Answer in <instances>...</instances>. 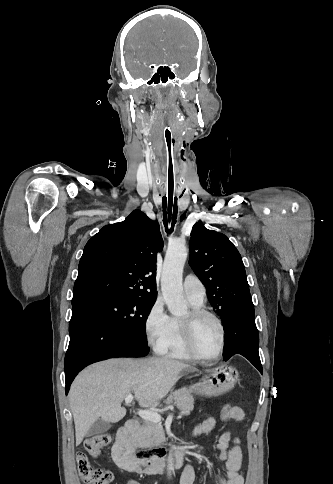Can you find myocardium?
Listing matches in <instances>:
<instances>
[{
    "instance_id": "obj_1",
    "label": "myocardium",
    "mask_w": 333,
    "mask_h": 484,
    "mask_svg": "<svg viewBox=\"0 0 333 484\" xmlns=\"http://www.w3.org/2000/svg\"><path fill=\"white\" fill-rule=\"evenodd\" d=\"M203 318L213 319L220 330V345L218 351L212 357H205L201 355L198 352L195 344V328L197 323ZM181 329L186 348L195 359L210 363L218 360L223 354L226 343V329L220 317L214 312L205 308L191 309L188 314L181 319Z\"/></svg>"
}]
</instances>
